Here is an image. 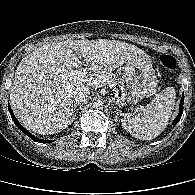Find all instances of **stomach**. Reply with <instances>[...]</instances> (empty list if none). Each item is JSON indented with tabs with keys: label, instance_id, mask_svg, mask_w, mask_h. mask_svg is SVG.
Listing matches in <instances>:
<instances>
[{
	"label": "stomach",
	"instance_id": "stomach-1",
	"mask_svg": "<svg viewBox=\"0 0 195 195\" xmlns=\"http://www.w3.org/2000/svg\"><path fill=\"white\" fill-rule=\"evenodd\" d=\"M123 78L129 89V101H137L156 93L158 79L148 55H139L128 61L124 67Z\"/></svg>",
	"mask_w": 195,
	"mask_h": 195
}]
</instances>
